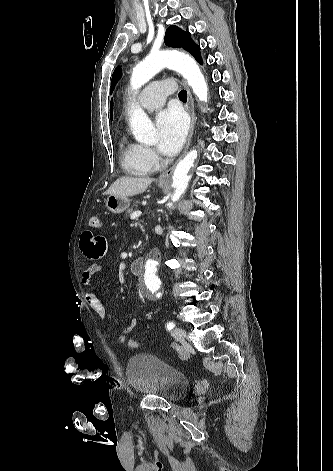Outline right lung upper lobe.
Here are the masks:
<instances>
[{
    "mask_svg": "<svg viewBox=\"0 0 333 471\" xmlns=\"http://www.w3.org/2000/svg\"><path fill=\"white\" fill-rule=\"evenodd\" d=\"M110 117H111V120H112V117H113V99L111 100V104H110Z\"/></svg>",
    "mask_w": 333,
    "mask_h": 471,
    "instance_id": "1",
    "label": "right lung upper lobe"
}]
</instances>
